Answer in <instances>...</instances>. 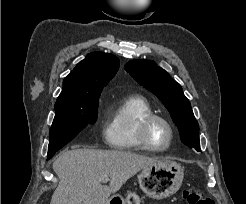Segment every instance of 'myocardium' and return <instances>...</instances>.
I'll list each match as a JSON object with an SVG mask.
<instances>
[{
	"mask_svg": "<svg viewBox=\"0 0 246 204\" xmlns=\"http://www.w3.org/2000/svg\"><path fill=\"white\" fill-rule=\"evenodd\" d=\"M157 121L163 123L169 131V140L167 144L163 147L154 146L149 138L151 127ZM174 136L175 131L171 122L164 116L155 113L149 114L141 121L137 133L138 141L142 148L152 152H163L169 149L173 143Z\"/></svg>",
	"mask_w": 246,
	"mask_h": 204,
	"instance_id": "myocardium-1",
	"label": "myocardium"
}]
</instances>
